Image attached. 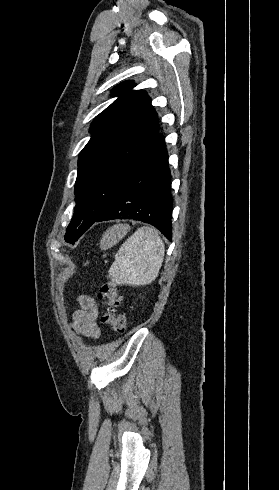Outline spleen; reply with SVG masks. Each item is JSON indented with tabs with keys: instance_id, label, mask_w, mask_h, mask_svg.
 <instances>
[{
	"instance_id": "obj_1",
	"label": "spleen",
	"mask_w": 279,
	"mask_h": 490,
	"mask_svg": "<svg viewBox=\"0 0 279 490\" xmlns=\"http://www.w3.org/2000/svg\"><path fill=\"white\" fill-rule=\"evenodd\" d=\"M130 226L116 224L108 228L100 242L109 250L124 238ZM165 246L155 228L143 226L119 248L109 276L117 286H148L156 280L164 260Z\"/></svg>"
}]
</instances>
